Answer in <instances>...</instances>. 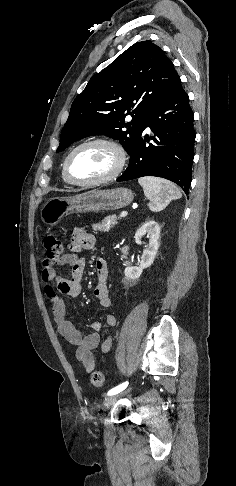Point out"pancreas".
<instances>
[{
  "label": "pancreas",
  "mask_w": 236,
  "mask_h": 486,
  "mask_svg": "<svg viewBox=\"0 0 236 486\" xmlns=\"http://www.w3.org/2000/svg\"><path fill=\"white\" fill-rule=\"evenodd\" d=\"M117 223V216L110 215L105 217L101 222L94 224L92 228L93 230H98L100 232H109Z\"/></svg>",
  "instance_id": "pancreas-1"
}]
</instances>
